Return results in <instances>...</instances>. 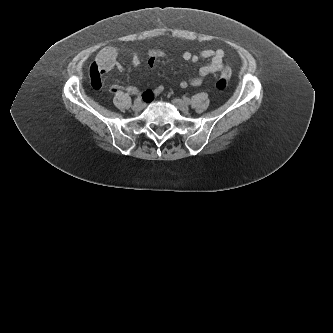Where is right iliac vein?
<instances>
[{
	"label": "right iliac vein",
	"instance_id": "63e3f726",
	"mask_svg": "<svg viewBox=\"0 0 333 333\" xmlns=\"http://www.w3.org/2000/svg\"><path fill=\"white\" fill-rule=\"evenodd\" d=\"M144 103H142L141 101L140 102H134V105L132 107V109L135 111V112H140L143 108H144Z\"/></svg>",
	"mask_w": 333,
	"mask_h": 333
}]
</instances>
